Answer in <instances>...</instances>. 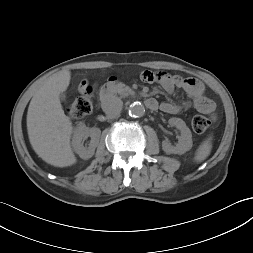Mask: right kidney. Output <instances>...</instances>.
I'll return each instance as SVG.
<instances>
[{"instance_id": "ca27d5eb", "label": "right kidney", "mask_w": 253, "mask_h": 253, "mask_svg": "<svg viewBox=\"0 0 253 253\" xmlns=\"http://www.w3.org/2000/svg\"><path fill=\"white\" fill-rule=\"evenodd\" d=\"M100 135L101 130L99 128H88L84 124H80L75 129L72 139V147L74 151L82 159L86 160L91 158L94 155L95 149L99 143ZM89 136L91 137L90 143L88 144V146H84L83 140H85Z\"/></svg>"}]
</instances>
